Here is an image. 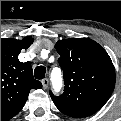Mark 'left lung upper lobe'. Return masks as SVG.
Returning a JSON list of instances; mask_svg holds the SVG:
<instances>
[{
    "label": "left lung upper lobe",
    "instance_id": "1",
    "mask_svg": "<svg viewBox=\"0 0 121 121\" xmlns=\"http://www.w3.org/2000/svg\"><path fill=\"white\" fill-rule=\"evenodd\" d=\"M64 73V93L51 98L71 117H86L98 111L115 86V70L107 52L89 38H70L56 43Z\"/></svg>",
    "mask_w": 121,
    "mask_h": 121
}]
</instances>
